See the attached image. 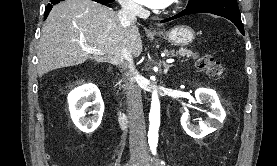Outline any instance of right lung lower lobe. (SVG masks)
<instances>
[{
  "label": "right lung lower lobe",
  "instance_id": "98d812e1",
  "mask_svg": "<svg viewBox=\"0 0 277 166\" xmlns=\"http://www.w3.org/2000/svg\"><path fill=\"white\" fill-rule=\"evenodd\" d=\"M60 1H63V0H50V3L45 8V19L48 16L49 12L51 11L52 6L59 3ZM93 1H96L101 4H105V5L114 2V0H93Z\"/></svg>",
  "mask_w": 277,
  "mask_h": 166
}]
</instances>
